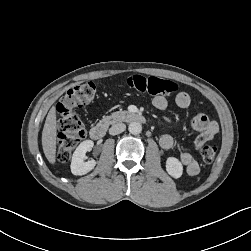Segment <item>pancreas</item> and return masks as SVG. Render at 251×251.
<instances>
[{"instance_id":"cf45deb5","label":"pancreas","mask_w":251,"mask_h":251,"mask_svg":"<svg viewBox=\"0 0 251 251\" xmlns=\"http://www.w3.org/2000/svg\"><path fill=\"white\" fill-rule=\"evenodd\" d=\"M126 115H127L126 111L114 112L109 116L103 117V119L100 121V124L108 127L109 125H111L113 123H116L118 121H122Z\"/></svg>"}]
</instances>
